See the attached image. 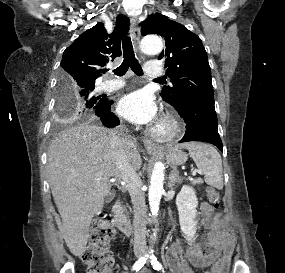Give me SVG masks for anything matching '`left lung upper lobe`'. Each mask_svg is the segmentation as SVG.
<instances>
[{"instance_id": "5c2ea615", "label": "left lung upper lobe", "mask_w": 285, "mask_h": 273, "mask_svg": "<svg viewBox=\"0 0 285 273\" xmlns=\"http://www.w3.org/2000/svg\"><path fill=\"white\" fill-rule=\"evenodd\" d=\"M142 34H159L166 49L158 59L165 60L166 75L172 86H164L160 93L171 105L187 100L214 99L211 70L201 39L179 24L159 13L148 16Z\"/></svg>"}]
</instances>
